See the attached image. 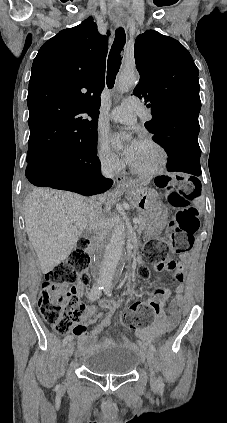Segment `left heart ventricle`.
I'll return each instance as SVG.
<instances>
[{
  "label": "left heart ventricle",
  "instance_id": "1",
  "mask_svg": "<svg viewBox=\"0 0 227 423\" xmlns=\"http://www.w3.org/2000/svg\"><path fill=\"white\" fill-rule=\"evenodd\" d=\"M160 160V153L154 146L142 143L136 152L132 165L142 171L154 168Z\"/></svg>",
  "mask_w": 227,
  "mask_h": 423
}]
</instances>
